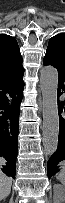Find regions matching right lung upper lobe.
<instances>
[{"label": "right lung upper lobe", "mask_w": 65, "mask_h": 203, "mask_svg": "<svg viewBox=\"0 0 65 203\" xmlns=\"http://www.w3.org/2000/svg\"><path fill=\"white\" fill-rule=\"evenodd\" d=\"M24 71L22 57L16 40L0 34V77L16 75Z\"/></svg>", "instance_id": "right-lung-upper-lobe-1"}]
</instances>
